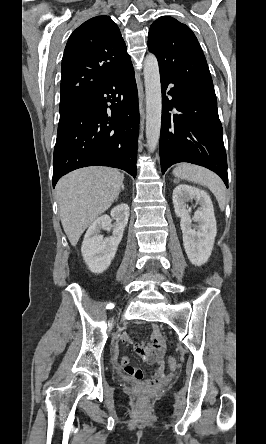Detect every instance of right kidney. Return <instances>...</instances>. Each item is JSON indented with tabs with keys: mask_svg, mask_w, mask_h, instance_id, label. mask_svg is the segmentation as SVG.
<instances>
[{
	"mask_svg": "<svg viewBox=\"0 0 266 444\" xmlns=\"http://www.w3.org/2000/svg\"><path fill=\"white\" fill-rule=\"evenodd\" d=\"M111 217L116 220V227L111 237L104 239L100 234L101 230L109 229L111 226V218L108 215L97 218L84 236L81 252L85 263L93 273L104 272L114 259L128 223L129 206L122 203L114 207L111 210Z\"/></svg>",
	"mask_w": 266,
	"mask_h": 444,
	"instance_id": "1",
	"label": "right kidney"
}]
</instances>
